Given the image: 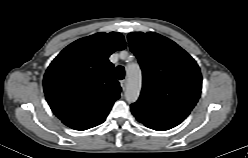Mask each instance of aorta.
<instances>
[{
	"label": "aorta",
	"instance_id": "obj_1",
	"mask_svg": "<svg viewBox=\"0 0 248 158\" xmlns=\"http://www.w3.org/2000/svg\"><path fill=\"white\" fill-rule=\"evenodd\" d=\"M127 85L125 98L129 103L136 102L141 91L142 74L138 64H131L126 68Z\"/></svg>",
	"mask_w": 248,
	"mask_h": 158
}]
</instances>
